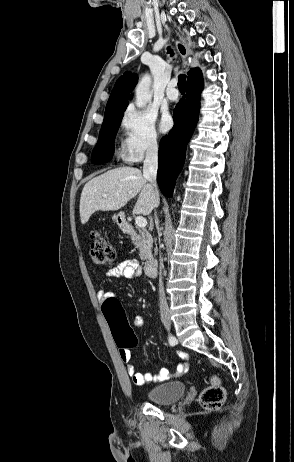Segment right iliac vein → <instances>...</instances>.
Here are the masks:
<instances>
[{
    "mask_svg": "<svg viewBox=\"0 0 294 462\" xmlns=\"http://www.w3.org/2000/svg\"><path fill=\"white\" fill-rule=\"evenodd\" d=\"M162 320H163L165 327L169 330L171 328L170 317L168 315H164Z\"/></svg>",
    "mask_w": 294,
    "mask_h": 462,
    "instance_id": "right-iliac-vein-1",
    "label": "right iliac vein"
}]
</instances>
